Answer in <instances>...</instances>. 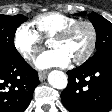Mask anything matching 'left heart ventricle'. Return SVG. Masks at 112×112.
<instances>
[{
  "mask_svg": "<svg viewBox=\"0 0 112 112\" xmlns=\"http://www.w3.org/2000/svg\"><path fill=\"white\" fill-rule=\"evenodd\" d=\"M90 42V31L87 26H78L66 39H52L50 47L60 49L66 53L71 60L81 56Z\"/></svg>",
  "mask_w": 112,
  "mask_h": 112,
  "instance_id": "obj_1",
  "label": "left heart ventricle"
}]
</instances>
